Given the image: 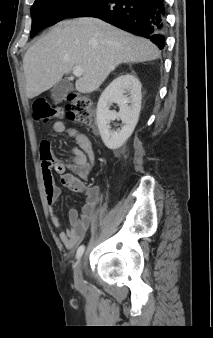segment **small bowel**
I'll return each mask as SVG.
<instances>
[{
  "label": "small bowel",
  "instance_id": "obj_1",
  "mask_svg": "<svg viewBox=\"0 0 213 338\" xmlns=\"http://www.w3.org/2000/svg\"><path fill=\"white\" fill-rule=\"evenodd\" d=\"M52 132L56 134L67 133L76 143V147L72 149V156L69 158L54 153L47 138H43L39 144L44 193L54 226L61 227L60 218L53 210L61 195V189L56 184L53 171L59 173L60 182L63 186L85 199L81 213L71 210L69 212L70 225L59 234V239L64 246L68 249H74L86 236L100 204V188L98 186H87L84 183V180L88 178L92 171L94 152L86 135L75 129L67 128L61 121L52 124ZM66 166L72 171L67 172Z\"/></svg>",
  "mask_w": 213,
  "mask_h": 338
}]
</instances>
